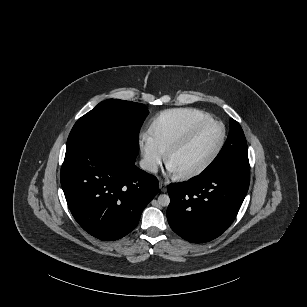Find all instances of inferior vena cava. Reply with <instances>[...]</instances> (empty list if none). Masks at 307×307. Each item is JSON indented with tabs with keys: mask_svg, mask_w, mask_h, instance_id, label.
<instances>
[{
	"mask_svg": "<svg viewBox=\"0 0 307 307\" xmlns=\"http://www.w3.org/2000/svg\"><path fill=\"white\" fill-rule=\"evenodd\" d=\"M139 166L141 169L149 171V172H157L158 166L154 159L144 158L139 162Z\"/></svg>",
	"mask_w": 307,
	"mask_h": 307,
	"instance_id": "602c4592",
	"label": "inferior vena cava"
}]
</instances>
